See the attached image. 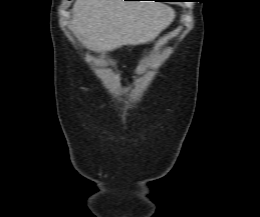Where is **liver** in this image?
Returning <instances> with one entry per match:
<instances>
[{"label": "liver", "mask_w": 260, "mask_h": 217, "mask_svg": "<svg viewBox=\"0 0 260 217\" xmlns=\"http://www.w3.org/2000/svg\"><path fill=\"white\" fill-rule=\"evenodd\" d=\"M174 18V10L160 2L76 0L71 30L87 48L105 52L148 43Z\"/></svg>", "instance_id": "liver-1"}]
</instances>
